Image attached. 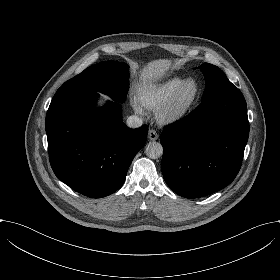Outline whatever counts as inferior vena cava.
I'll list each match as a JSON object with an SVG mask.
<instances>
[{"label": "inferior vena cava", "mask_w": 280, "mask_h": 280, "mask_svg": "<svg viewBox=\"0 0 280 280\" xmlns=\"http://www.w3.org/2000/svg\"><path fill=\"white\" fill-rule=\"evenodd\" d=\"M126 122L130 128H138L142 126L143 123L142 119L136 115L129 116Z\"/></svg>", "instance_id": "1"}]
</instances>
